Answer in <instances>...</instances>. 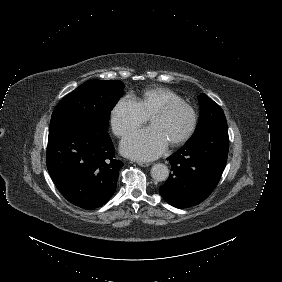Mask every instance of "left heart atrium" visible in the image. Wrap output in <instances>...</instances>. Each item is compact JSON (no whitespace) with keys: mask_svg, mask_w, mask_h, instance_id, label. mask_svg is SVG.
I'll return each mask as SVG.
<instances>
[{"mask_svg":"<svg viewBox=\"0 0 282 282\" xmlns=\"http://www.w3.org/2000/svg\"><path fill=\"white\" fill-rule=\"evenodd\" d=\"M168 140L156 126L133 131L122 142V150L138 160H150L159 156L166 148Z\"/></svg>","mask_w":282,"mask_h":282,"instance_id":"left-heart-atrium-1","label":"left heart atrium"}]
</instances>
